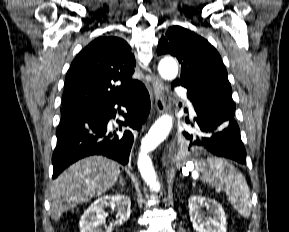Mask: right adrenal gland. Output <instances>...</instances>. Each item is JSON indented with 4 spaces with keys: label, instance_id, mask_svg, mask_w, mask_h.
<instances>
[{
    "label": "right adrenal gland",
    "instance_id": "obj_1",
    "mask_svg": "<svg viewBox=\"0 0 289 232\" xmlns=\"http://www.w3.org/2000/svg\"><path fill=\"white\" fill-rule=\"evenodd\" d=\"M119 184L122 185V186L125 185V181H124L122 176H120V178H119Z\"/></svg>",
    "mask_w": 289,
    "mask_h": 232
}]
</instances>
